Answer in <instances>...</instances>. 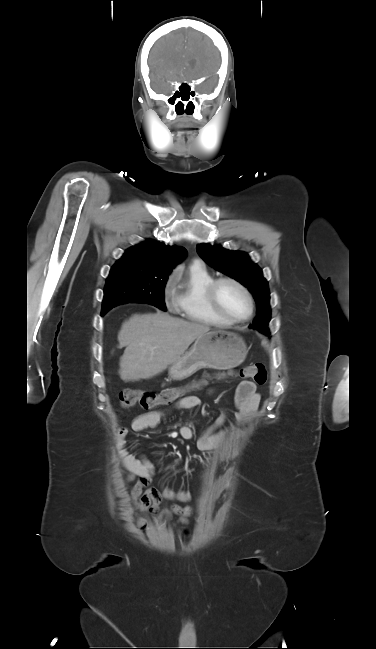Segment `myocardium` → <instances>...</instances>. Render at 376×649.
<instances>
[{
    "label": "myocardium",
    "mask_w": 376,
    "mask_h": 649,
    "mask_svg": "<svg viewBox=\"0 0 376 649\" xmlns=\"http://www.w3.org/2000/svg\"><path fill=\"white\" fill-rule=\"evenodd\" d=\"M224 283L235 285L246 297L249 304V312L244 318H234L224 309L219 298V287ZM208 299L216 312L230 323H242L248 321L254 312V300L249 289L234 277L224 276L214 279L207 289Z\"/></svg>",
    "instance_id": "f54148a6"
}]
</instances>
